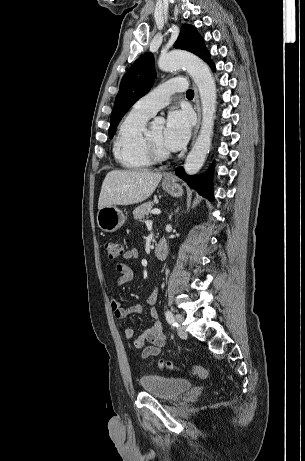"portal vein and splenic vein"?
Wrapping results in <instances>:
<instances>
[{
	"label": "portal vein and splenic vein",
	"instance_id": "1",
	"mask_svg": "<svg viewBox=\"0 0 305 461\" xmlns=\"http://www.w3.org/2000/svg\"><path fill=\"white\" fill-rule=\"evenodd\" d=\"M151 213H152L153 215H159V214L161 213V211L158 210V209H153V210L151 211Z\"/></svg>",
	"mask_w": 305,
	"mask_h": 461
}]
</instances>
